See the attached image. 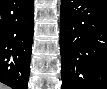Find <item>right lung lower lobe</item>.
Returning a JSON list of instances; mask_svg holds the SVG:
<instances>
[{"mask_svg": "<svg viewBox=\"0 0 107 89\" xmlns=\"http://www.w3.org/2000/svg\"><path fill=\"white\" fill-rule=\"evenodd\" d=\"M33 10V0H0V82L13 89H27Z\"/></svg>", "mask_w": 107, "mask_h": 89, "instance_id": "1", "label": "right lung lower lobe"}]
</instances>
